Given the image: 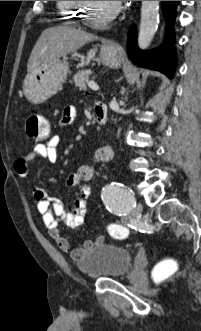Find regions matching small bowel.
<instances>
[{
  "instance_id": "c3829d8e",
  "label": "small bowel",
  "mask_w": 201,
  "mask_h": 331,
  "mask_svg": "<svg viewBox=\"0 0 201 331\" xmlns=\"http://www.w3.org/2000/svg\"><path fill=\"white\" fill-rule=\"evenodd\" d=\"M104 106L101 103H95L94 110ZM76 117V109L72 106L66 107L60 119V126L65 127L72 124ZM59 137L53 136L42 143L36 144L33 149L25 156H22L14 162V169L21 177H27L29 163L41 158L53 164L58 158ZM114 156V150L111 145H105L98 148L94 152L95 162H107ZM94 168L92 165H82L78 171L71 174L66 181L69 187L78 188L79 198L74 202L72 210H67L64 203L56 198H51L47 192L40 187H35L33 190L34 199L39 214L42 216L43 222L47 227L51 238L56 245L65 253H68L73 260H79L85 252L92 247L98 245L100 240H87L82 247L73 248L61 230L60 225H65L69 228H77L84 222L87 212V201L92 195L91 188L88 182L93 178Z\"/></svg>"
}]
</instances>
